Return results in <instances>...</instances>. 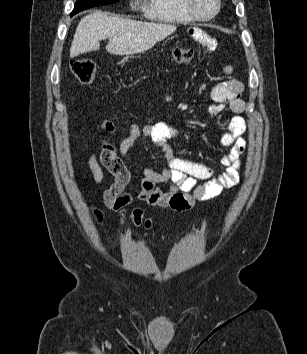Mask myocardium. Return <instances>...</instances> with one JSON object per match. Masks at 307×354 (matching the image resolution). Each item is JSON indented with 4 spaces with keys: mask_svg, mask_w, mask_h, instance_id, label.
Here are the masks:
<instances>
[{
    "mask_svg": "<svg viewBox=\"0 0 307 354\" xmlns=\"http://www.w3.org/2000/svg\"><path fill=\"white\" fill-rule=\"evenodd\" d=\"M182 2L185 12L194 20L198 21H209L213 19L219 13L221 8V0H215L216 5L214 11L209 15H201L195 10L193 0H182Z\"/></svg>",
    "mask_w": 307,
    "mask_h": 354,
    "instance_id": "1",
    "label": "myocardium"
}]
</instances>
